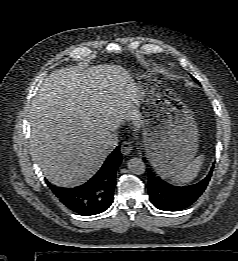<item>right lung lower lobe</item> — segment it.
Here are the masks:
<instances>
[{
    "instance_id": "obj_1",
    "label": "right lung lower lobe",
    "mask_w": 238,
    "mask_h": 261,
    "mask_svg": "<svg viewBox=\"0 0 238 261\" xmlns=\"http://www.w3.org/2000/svg\"><path fill=\"white\" fill-rule=\"evenodd\" d=\"M117 147L106 159L101 169L85 184L75 188H60L48 183L59 200L72 211L90 216L107 210L114 199L116 170L121 163Z\"/></svg>"
}]
</instances>
